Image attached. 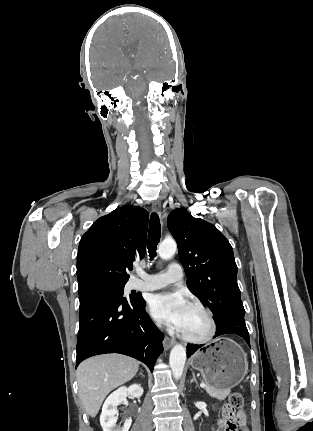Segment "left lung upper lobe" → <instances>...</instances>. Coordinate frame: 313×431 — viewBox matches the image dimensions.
<instances>
[{
    "label": "left lung upper lobe",
    "mask_w": 313,
    "mask_h": 431,
    "mask_svg": "<svg viewBox=\"0 0 313 431\" xmlns=\"http://www.w3.org/2000/svg\"><path fill=\"white\" fill-rule=\"evenodd\" d=\"M168 229L178 244L189 290L209 307L216 324L244 316L237 284V265L226 237L213 225L185 209L172 211Z\"/></svg>",
    "instance_id": "1"
}]
</instances>
